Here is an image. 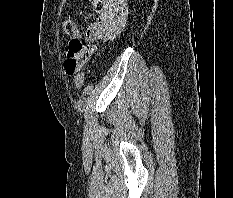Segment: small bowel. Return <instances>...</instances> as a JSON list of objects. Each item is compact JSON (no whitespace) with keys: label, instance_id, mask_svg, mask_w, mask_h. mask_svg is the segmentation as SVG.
<instances>
[{"label":"small bowel","instance_id":"1","mask_svg":"<svg viewBox=\"0 0 233 198\" xmlns=\"http://www.w3.org/2000/svg\"><path fill=\"white\" fill-rule=\"evenodd\" d=\"M128 20V5L127 0H105V5L100 12L96 22L92 23L85 30L80 27L79 31L84 30L85 40L89 46L82 45L79 49L74 50L71 39L69 44V52L75 54L78 62L88 56L79 66L88 61L89 57L96 51V44L100 41L114 38L121 33L126 26ZM68 52V53H69Z\"/></svg>","mask_w":233,"mask_h":198}]
</instances>
